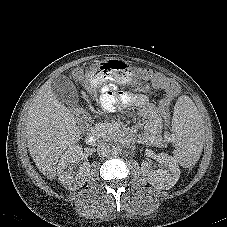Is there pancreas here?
I'll return each mask as SVG.
<instances>
[{
  "label": "pancreas",
  "instance_id": "1",
  "mask_svg": "<svg viewBox=\"0 0 227 227\" xmlns=\"http://www.w3.org/2000/svg\"><path fill=\"white\" fill-rule=\"evenodd\" d=\"M114 129L109 123H98L94 126L93 134L98 138H103L104 140H110L114 137Z\"/></svg>",
  "mask_w": 227,
  "mask_h": 227
}]
</instances>
